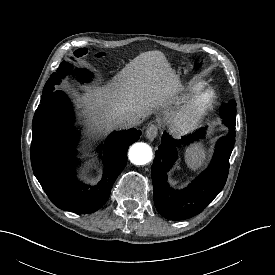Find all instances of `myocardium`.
Listing matches in <instances>:
<instances>
[{"instance_id": "f54148a6", "label": "myocardium", "mask_w": 275, "mask_h": 275, "mask_svg": "<svg viewBox=\"0 0 275 275\" xmlns=\"http://www.w3.org/2000/svg\"><path fill=\"white\" fill-rule=\"evenodd\" d=\"M217 94L213 89H198L178 109L172 119V129L177 134H187L197 129L214 109Z\"/></svg>"}]
</instances>
